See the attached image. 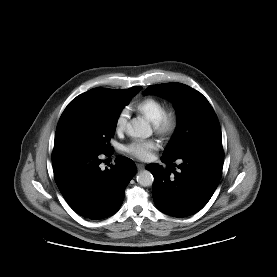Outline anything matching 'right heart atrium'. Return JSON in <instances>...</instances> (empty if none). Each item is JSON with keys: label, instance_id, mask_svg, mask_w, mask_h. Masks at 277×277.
<instances>
[{"label": "right heart atrium", "instance_id": "obj_1", "mask_svg": "<svg viewBox=\"0 0 277 277\" xmlns=\"http://www.w3.org/2000/svg\"><path fill=\"white\" fill-rule=\"evenodd\" d=\"M127 118H128V113L126 110H122L119 112V114L115 119V131L117 133H122L125 130L126 124H127Z\"/></svg>", "mask_w": 277, "mask_h": 277}]
</instances>
